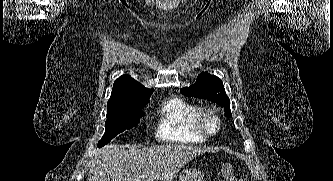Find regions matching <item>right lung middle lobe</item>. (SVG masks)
<instances>
[{
	"label": "right lung middle lobe",
	"instance_id": "right-lung-middle-lobe-1",
	"mask_svg": "<svg viewBox=\"0 0 333 181\" xmlns=\"http://www.w3.org/2000/svg\"><path fill=\"white\" fill-rule=\"evenodd\" d=\"M145 105L146 104L107 111L105 134L98 142L97 146L102 147L109 143L119 133L135 127L139 123L140 117L144 114L142 108Z\"/></svg>",
	"mask_w": 333,
	"mask_h": 181
}]
</instances>
